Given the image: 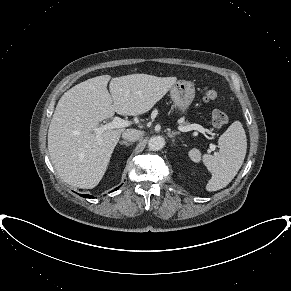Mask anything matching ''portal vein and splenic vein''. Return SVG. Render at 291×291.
I'll use <instances>...</instances> for the list:
<instances>
[{"label": "portal vein and splenic vein", "instance_id": "1", "mask_svg": "<svg viewBox=\"0 0 291 291\" xmlns=\"http://www.w3.org/2000/svg\"><path fill=\"white\" fill-rule=\"evenodd\" d=\"M130 125L129 121L123 120L119 117H114L113 121L110 123H107L103 126H101L100 128H98L96 130V134L99 136L101 135V133L104 130H109V129H116V128H122V127H127ZM180 131L182 132H188V131H192V130H197L199 132H201L202 134L205 135L206 130L199 124H191V125H187V126H179L178 128ZM215 145L210 144V149L211 150H215Z\"/></svg>", "mask_w": 291, "mask_h": 291}]
</instances>
